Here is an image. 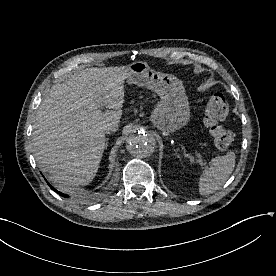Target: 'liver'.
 Listing matches in <instances>:
<instances>
[{
  "label": "liver",
  "mask_w": 276,
  "mask_h": 276,
  "mask_svg": "<svg viewBox=\"0 0 276 276\" xmlns=\"http://www.w3.org/2000/svg\"><path fill=\"white\" fill-rule=\"evenodd\" d=\"M128 66L87 68L53 85L33 125L38 167L59 191L73 194L96 176L105 148L103 126L119 123ZM108 109L102 112L101 107Z\"/></svg>",
  "instance_id": "liver-1"
}]
</instances>
